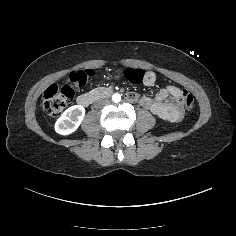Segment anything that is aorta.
<instances>
[{"label":"aorta","instance_id":"1","mask_svg":"<svg viewBox=\"0 0 236 236\" xmlns=\"http://www.w3.org/2000/svg\"><path fill=\"white\" fill-rule=\"evenodd\" d=\"M112 100H113V102H115V103L120 102V100H121L120 94H113V95H112Z\"/></svg>","mask_w":236,"mask_h":236}]
</instances>
